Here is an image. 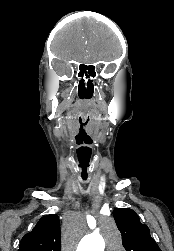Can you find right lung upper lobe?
<instances>
[{
	"label": "right lung upper lobe",
	"instance_id": "obj_1",
	"mask_svg": "<svg viewBox=\"0 0 174 251\" xmlns=\"http://www.w3.org/2000/svg\"><path fill=\"white\" fill-rule=\"evenodd\" d=\"M59 224L56 214L42 217L33 230L23 236L18 251H60Z\"/></svg>",
	"mask_w": 174,
	"mask_h": 251
}]
</instances>
